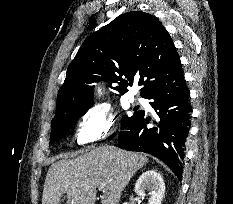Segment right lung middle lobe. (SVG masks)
Segmentation results:
<instances>
[{"mask_svg":"<svg viewBox=\"0 0 233 204\" xmlns=\"http://www.w3.org/2000/svg\"><path fill=\"white\" fill-rule=\"evenodd\" d=\"M88 109H83L76 111L74 113L69 114L68 116L52 122V132L50 136V143H54L59 140L67 131L72 127V125L86 113ZM139 113V111L135 112L131 117L124 116L125 122L122 123L121 129L127 127L130 121Z\"/></svg>","mask_w":233,"mask_h":204,"instance_id":"dd1d6c3e","label":"right lung middle lobe"}]
</instances>
